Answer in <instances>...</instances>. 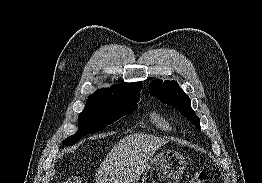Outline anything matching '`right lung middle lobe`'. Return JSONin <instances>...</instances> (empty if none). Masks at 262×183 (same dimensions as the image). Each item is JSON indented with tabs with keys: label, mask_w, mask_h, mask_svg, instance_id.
<instances>
[{
	"label": "right lung middle lobe",
	"mask_w": 262,
	"mask_h": 183,
	"mask_svg": "<svg viewBox=\"0 0 262 183\" xmlns=\"http://www.w3.org/2000/svg\"><path fill=\"white\" fill-rule=\"evenodd\" d=\"M139 100L114 103L87 100L85 108L79 114L77 133L64 140L63 145H74L83 136L101 131L120 117L132 113L137 109Z\"/></svg>",
	"instance_id": "1"
}]
</instances>
